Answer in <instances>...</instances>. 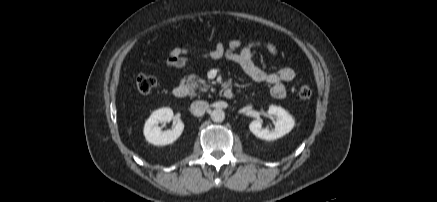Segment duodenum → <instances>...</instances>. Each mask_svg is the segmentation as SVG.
Segmentation results:
<instances>
[{"label":"duodenum","mask_w":437,"mask_h":202,"mask_svg":"<svg viewBox=\"0 0 437 202\" xmlns=\"http://www.w3.org/2000/svg\"><path fill=\"white\" fill-rule=\"evenodd\" d=\"M173 96L177 99H182L186 96V89L183 85H177L173 88ZM223 96L226 99H232L235 96V92L231 88H226L223 91Z\"/></svg>","instance_id":"duodenum-1"}]
</instances>
